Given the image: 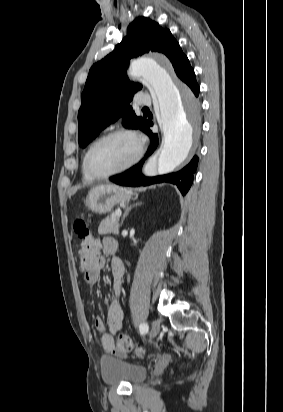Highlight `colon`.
Masks as SVG:
<instances>
[{"mask_svg": "<svg viewBox=\"0 0 283 412\" xmlns=\"http://www.w3.org/2000/svg\"><path fill=\"white\" fill-rule=\"evenodd\" d=\"M74 231L81 240L79 249L80 261L84 267L89 266L97 256L98 240L95 238L82 215L78 216L73 224ZM116 347L119 352L127 353L136 349L133 341L126 335H119L116 338ZM141 352V350H139Z\"/></svg>", "mask_w": 283, "mask_h": 412, "instance_id": "5ec220e1", "label": "colon"}]
</instances>
